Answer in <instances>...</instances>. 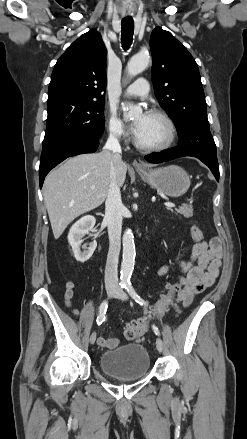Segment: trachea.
I'll list each match as a JSON object with an SVG mask.
<instances>
[{
  "label": "trachea",
  "mask_w": 247,
  "mask_h": 439,
  "mask_svg": "<svg viewBox=\"0 0 247 439\" xmlns=\"http://www.w3.org/2000/svg\"><path fill=\"white\" fill-rule=\"evenodd\" d=\"M134 21L131 17L121 21V43L124 50H128L133 41Z\"/></svg>",
  "instance_id": "obj_1"
}]
</instances>
